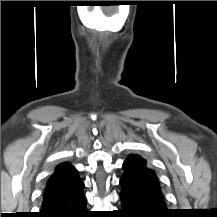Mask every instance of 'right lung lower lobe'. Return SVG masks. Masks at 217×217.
Returning <instances> with one entry per match:
<instances>
[{"mask_svg": "<svg viewBox=\"0 0 217 217\" xmlns=\"http://www.w3.org/2000/svg\"><path fill=\"white\" fill-rule=\"evenodd\" d=\"M83 188L84 186L72 194L44 201L41 211L35 217H90Z\"/></svg>", "mask_w": 217, "mask_h": 217, "instance_id": "obj_1", "label": "right lung lower lobe"}]
</instances>
